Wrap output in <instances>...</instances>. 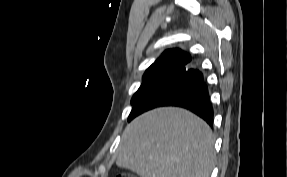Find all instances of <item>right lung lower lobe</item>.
Listing matches in <instances>:
<instances>
[{
	"label": "right lung lower lobe",
	"mask_w": 287,
	"mask_h": 177,
	"mask_svg": "<svg viewBox=\"0 0 287 177\" xmlns=\"http://www.w3.org/2000/svg\"><path fill=\"white\" fill-rule=\"evenodd\" d=\"M160 106L186 108L213 125V108L203 74L190 65L174 69L157 81L134 103L132 119Z\"/></svg>",
	"instance_id": "1"
}]
</instances>
